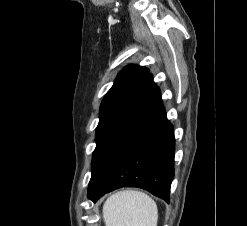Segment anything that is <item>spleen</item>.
<instances>
[{
	"instance_id": "spleen-1",
	"label": "spleen",
	"mask_w": 247,
	"mask_h": 226,
	"mask_svg": "<svg viewBox=\"0 0 247 226\" xmlns=\"http://www.w3.org/2000/svg\"><path fill=\"white\" fill-rule=\"evenodd\" d=\"M106 226H157L155 201L139 191H121L110 196L103 206Z\"/></svg>"
}]
</instances>
